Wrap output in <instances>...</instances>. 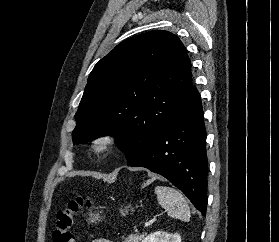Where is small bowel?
<instances>
[{
    "label": "small bowel",
    "instance_id": "c3829d8e",
    "mask_svg": "<svg viewBox=\"0 0 279 242\" xmlns=\"http://www.w3.org/2000/svg\"><path fill=\"white\" fill-rule=\"evenodd\" d=\"M91 242H113V241H110V240L104 239V238H98V239L92 240Z\"/></svg>",
    "mask_w": 279,
    "mask_h": 242
}]
</instances>
